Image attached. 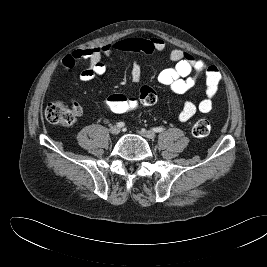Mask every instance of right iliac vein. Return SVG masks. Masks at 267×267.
<instances>
[{
    "label": "right iliac vein",
    "instance_id": "1",
    "mask_svg": "<svg viewBox=\"0 0 267 267\" xmlns=\"http://www.w3.org/2000/svg\"><path fill=\"white\" fill-rule=\"evenodd\" d=\"M110 133L113 135H117L120 133V128L118 126H112L110 127Z\"/></svg>",
    "mask_w": 267,
    "mask_h": 267
}]
</instances>
